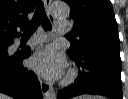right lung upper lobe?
I'll use <instances>...</instances> for the list:
<instances>
[{
	"label": "right lung upper lobe",
	"mask_w": 128,
	"mask_h": 99,
	"mask_svg": "<svg viewBox=\"0 0 128 99\" xmlns=\"http://www.w3.org/2000/svg\"><path fill=\"white\" fill-rule=\"evenodd\" d=\"M37 0H0V42L20 36L17 27L27 23Z\"/></svg>",
	"instance_id": "obj_1"
}]
</instances>
